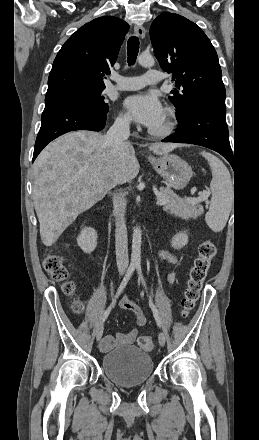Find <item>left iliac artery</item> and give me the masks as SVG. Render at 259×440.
<instances>
[{"mask_svg": "<svg viewBox=\"0 0 259 440\" xmlns=\"http://www.w3.org/2000/svg\"><path fill=\"white\" fill-rule=\"evenodd\" d=\"M136 269H137V272H138L139 278H140V280L142 281V284H143L144 287L146 288V283H145V280H144V277H143V273H142L141 265H140V264H137V265H136ZM149 305H150V307H151V310H152V312H153V314H154V317H155V320H156L158 326L161 327V321H160V317H159L158 311H157V309H156V307H155L153 301H152L150 298H149Z\"/></svg>", "mask_w": 259, "mask_h": 440, "instance_id": "obj_1", "label": "left iliac artery"}]
</instances>
